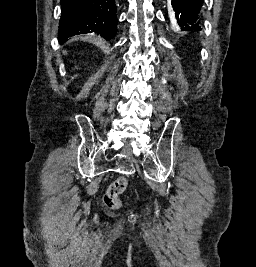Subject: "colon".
<instances>
[{
  "mask_svg": "<svg viewBox=\"0 0 256 267\" xmlns=\"http://www.w3.org/2000/svg\"><path fill=\"white\" fill-rule=\"evenodd\" d=\"M127 186V180L123 177L114 180L102 197L104 204L110 209L118 208L119 197L127 189Z\"/></svg>",
  "mask_w": 256,
  "mask_h": 267,
  "instance_id": "colon-1",
  "label": "colon"
}]
</instances>
